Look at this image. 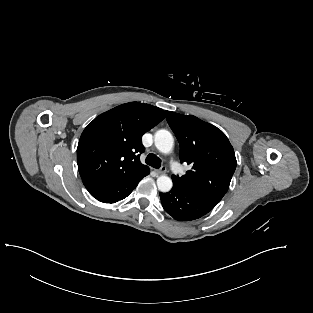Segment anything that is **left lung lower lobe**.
<instances>
[{
	"label": "left lung lower lobe",
	"instance_id": "left-lung-lower-lobe-1",
	"mask_svg": "<svg viewBox=\"0 0 313 313\" xmlns=\"http://www.w3.org/2000/svg\"><path fill=\"white\" fill-rule=\"evenodd\" d=\"M164 210L174 219L190 221L200 218L212 210L217 203L184 191L174 183L167 193H160Z\"/></svg>",
	"mask_w": 313,
	"mask_h": 313
}]
</instances>
